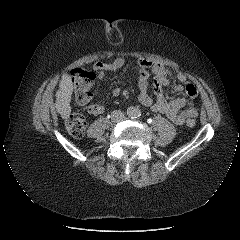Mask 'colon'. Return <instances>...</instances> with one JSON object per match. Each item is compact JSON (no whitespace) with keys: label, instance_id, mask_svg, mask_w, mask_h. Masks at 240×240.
<instances>
[{"label":"colon","instance_id":"1","mask_svg":"<svg viewBox=\"0 0 240 240\" xmlns=\"http://www.w3.org/2000/svg\"><path fill=\"white\" fill-rule=\"evenodd\" d=\"M74 86V104L77 107L85 106L90 100V87L95 79V73L89 69L75 68L71 71ZM196 120L190 117L186 120L188 127H194ZM86 128V119L79 113L74 112L66 119V129L75 138H81Z\"/></svg>","mask_w":240,"mask_h":240}]
</instances>
